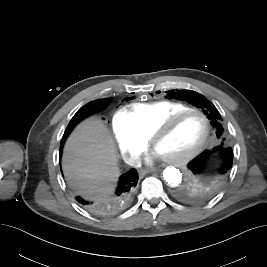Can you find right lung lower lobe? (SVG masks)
Masks as SVG:
<instances>
[{
    "mask_svg": "<svg viewBox=\"0 0 267 267\" xmlns=\"http://www.w3.org/2000/svg\"><path fill=\"white\" fill-rule=\"evenodd\" d=\"M107 104V102H101L98 103L96 101L90 102L88 104H86L84 107H82L75 115L74 117L71 119L69 125L67 126L64 135L62 137L61 140V144H60V156L62 153V148H63V143L65 142L66 138L68 137L69 133L72 131V129L74 128V126L80 122L82 119H84L85 117H87L88 115L101 110L105 105ZM138 182V174L137 171L135 169H131L128 172H126L125 174H123L120 179H119V183H118V187L116 189L115 192V200L113 202V205L111 207H105V206H101L99 204H94L91 205L92 203L84 200L81 197H76V200L88 207L93 209L94 211H98L101 213H105L106 211H108L109 209H115L118 210L119 208H121L122 206H124L130 199L131 194L133 193L136 185Z\"/></svg>",
    "mask_w": 267,
    "mask_h": 267,
    "instance_id": "1",
    "label": "right lung lower lobe"
}]
</instances>
